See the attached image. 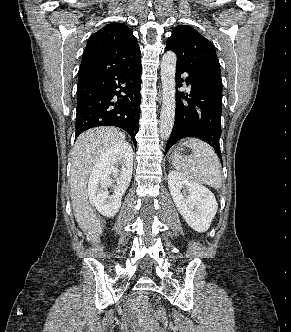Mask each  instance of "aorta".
I'll return each mask as SVG.
<instances>
[{
    "instance_id": "aorta-1",
    "label": "aorta",
    "mask_w": 291,
    "mask_h": 332,
    "mask_svg": "<svg viewBox=\"0 0 291 332\" xmlns=\"http://www.w3.org/2000/svg\"><path fill=\"white\" fill-rule=\"evenodd\" d=\"M176 54L172 51L166 52L161 62L162 82V109L160 114L159 133L162 139L167 140L172 132L175 119V73Z\"/></svg>"
}]
</instances>
